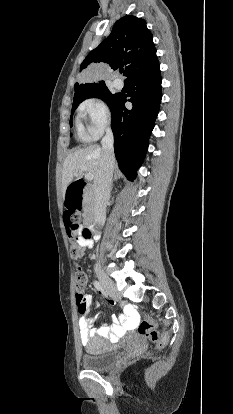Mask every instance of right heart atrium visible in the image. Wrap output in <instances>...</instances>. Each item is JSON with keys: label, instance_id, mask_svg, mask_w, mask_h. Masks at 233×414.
I'll return each mask as SVG.
<instances>
[{"label": "right heart atrium", "instance_id": "obj_1", "mask_svg": "<svg viewBox=\"0 0 233 414\" xmlns=\"http://www.w3.org/2000/svg\"><path fill=\"white\" fill-rule=\"evenodd\" d=\"M79 115L85 121L82 137L86 140L98 139L111 124V111L100 97H91L79 106Z\"/></svg>", "mask_w": 233, "mask_h": 414}]
</instances>
